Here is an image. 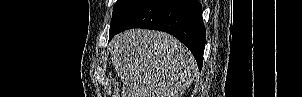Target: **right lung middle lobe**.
<instances>
[{
  "mask_svg": "<svg viewBox=\"0 0 302 97\" xmlns=\"http://www.w3.org/2000/svg\"><path fill=\"white\" fill-rule=\"evenodd\" d=\"M145 0H119L116 2L110 24V34L119 28L122 22L134 12Z\"/></svg>",
  "mask_w": 302,
  "mask_h": 97,
  "instance_id": "dd1d6c3e",
  "label": "right lung middle lobe"
}]
</instances>
